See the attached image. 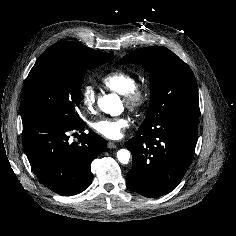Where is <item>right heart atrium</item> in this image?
Wrapping results in <instances>:
<instances>
[{
	"label": "right heart atrium",
	"mask_w": 236,
	"mask_h": 236,
	"mask_svg": "<svg viewBox=\"0 0 236 236\" xmlns=\"http://www.w3.org/2000/svg\"><path fill=\"white\" fill-rule=\"evenodd\" d=\"M96 90L90 84L83 85L81 89V101L88 111H93L96 104Z\"/></svg>",
	"instance_id": "1"
}]
</instances>
